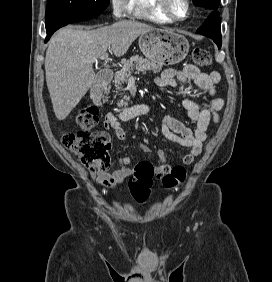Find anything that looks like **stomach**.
<instances>
[{"mask_svg": "<svg viewBox=\"0 0 272 282\" xmlns=\"http://www.w3.org/2000/svg\"><path fill=\"white\" fill-rule=\"evenodd\" d=\"M142 53L159 65H173L185 59L189 42L181 34L163 28H153L139 37Z\"/></svg>", "mask_w": 272, "mask_h": 282, "instance_id": "1", "label": "stomach"}]
</instances>
